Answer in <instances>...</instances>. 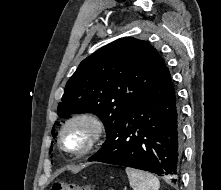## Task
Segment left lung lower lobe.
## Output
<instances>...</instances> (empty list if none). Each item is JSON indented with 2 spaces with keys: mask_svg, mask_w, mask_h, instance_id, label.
Masks as SVG:
<instances>
[{
  "mask_svg": "<svg viewBox=\"0 0 221 190\" xmlns=\"http://www.w3.org/2000/svg\"><path fill=\"white\" fill-rule=\"evenodd\" d=\"M181 155L179 106L165 66L137 104L111 128L106 142L88 161L141 169L175 182Z\"/></svg>",
  "mask_w": 221,
  "mask_h": 190,
  "instance_id": "1",
  "label": "left lung lower lobe"
}]
</instances>
